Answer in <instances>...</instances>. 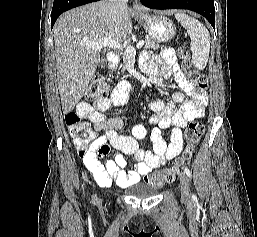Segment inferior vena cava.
Listing matches in <instances>:
<instances>
[{
    "mask_svg": "<svg viewBox=\"0 0 257 237\" xmlns=\"http://www.w3.org/2000/svg\"><path fill=\"white\" fill-rule=\"evenodd\" d=\"M109 2L120 9H126L128 0H109Z\"/></svg>",
    "mask_w": 257,
    "mask_h": 237,
    "instance_id": "obj_1",
    "label": "inferior vena cava"
}]
</instances>
